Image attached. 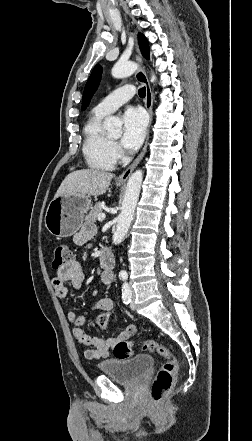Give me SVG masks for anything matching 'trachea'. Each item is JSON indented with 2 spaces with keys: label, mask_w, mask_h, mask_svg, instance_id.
<instances>
[{
  "label": "trachea",
  "mask_w": 252,
  "mask_h": 441,
  "mask_svg": "<svg viewBox=\"0 0 252 441\" xmlns=\"http://www.w3.org/2000/svg\"><path fill=\"white\" fill-rule=\"evenodd\" d=\"M138 94L140 97L144 98L146 95V89L145 87H142L141 89H139Z\"/></svg>",
  "instance_id": "trachea-1"
}]
</instances>
